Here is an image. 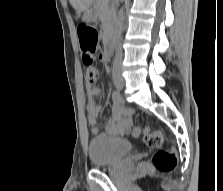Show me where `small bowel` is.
Listing matches in <instances>:
<instances>
[{
	"label": "small bowel",
	"instance_id": "small-bowel-1",
	"mask_svg": "<svg viewBox=\"0 0 223 191\" xmlns=\"http://www.w3.org/2000/svg\"><path fill=\"white\" fill-rule=\"evenodd\" d=\"M99 59L104 63L108 62V58L104 53H100ZM86 89L88 94L87 117L90 130L93 135H100L101 130L98 122L102 107L96 103L94 98L100 95L102 91L101 88L94 86L91 83L87 84ZM133 115L134 111L132 108L123 106L121 100L118 101L113 99L112 114L106 121L104 134L115 137L126 135L132 127Z\"/></svg>",
	"mask_w": 223,
	"mask_h": 191
}]
</instances>
